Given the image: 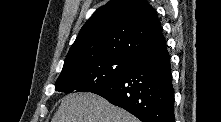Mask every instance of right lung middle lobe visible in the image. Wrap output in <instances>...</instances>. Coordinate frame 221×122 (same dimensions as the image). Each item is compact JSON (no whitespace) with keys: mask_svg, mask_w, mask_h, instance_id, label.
Wrapping results in <instances>:
<instances>
[{"mask_svg":"<svg viewBox=\"0 0 221 122\" xmlns=\"http://www.w3.org/2000/svg\"><path fill=\"white\" fill-rule=\"evenodd\" d=\"M133 60L126 56L110 55L75 64L61 72L55 90L64 93L91 92L118 79Z\"/></svg>","mask_w":221,"mask_h":122,"instance_id":"1","label":"right lung middle lobe"}]
</instances>
